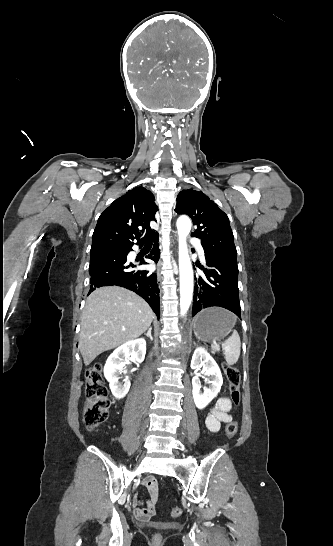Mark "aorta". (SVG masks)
Masks as SVG:
<instances>
[{
    "mask_svg": "<svg viewBox=\"0 0 333 546\" xmlns=\"http://www.w3.org/2000/svg\"><path fill=\"white\" fill-rule=\"evenodd\" d=\"M179 236V270H180V314L183 316L190 307L193 295V270L188 254L187 236L191 230V220L182 215L177 220Z\"/></svg>",
    "mask_w": 333,
    "mask_h": 546,
    "instance_id": "aorta-1",
    "label": "aorta"
}]
</instances>
